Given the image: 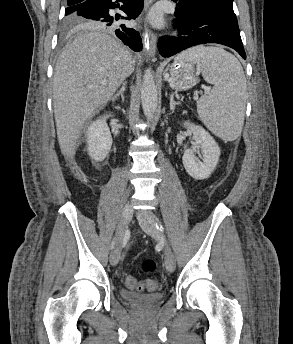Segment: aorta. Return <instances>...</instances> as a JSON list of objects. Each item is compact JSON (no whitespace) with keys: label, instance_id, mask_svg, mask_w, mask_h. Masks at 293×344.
I'll return each instance as SVG.
<instances>
[{"label":"aorta","instance_id":"obj_1","mask_svg":"<svg viewBox=\"0 0 293 344\" xmlns=\"http://www.w3.org/2000/svg\"><path fill=\"white\" fill-rule=\"evenodd\" d=\"M140 92L144 115L151 120L157 110L158 94L152 70L149 68L144 72Z\"/></svg>","mask_w":293,"mask_h":344}]
</instances>
